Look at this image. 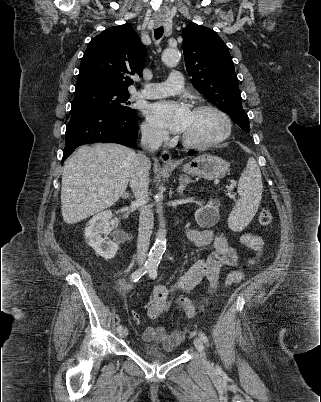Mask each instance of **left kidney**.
<instances>
[{
  "mask_svg": "<svg viewBox=\"0 0 321 402\" xmlns=\"http://www.w3.org/2000/svg\"><path fill=\"white\" fill-rule=\"evenodd\" d=\"M219 205L218 201L210 200L205 207L199 208L195 212L197 223L202 227H211L215 225L219 220Z\"/></svg>",
  "mask_w": 321,
  "mask_h": 402,
  "instance_id": "obj_1",
  "label": "left kidney"
}]
</instances>
